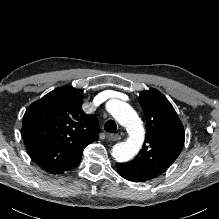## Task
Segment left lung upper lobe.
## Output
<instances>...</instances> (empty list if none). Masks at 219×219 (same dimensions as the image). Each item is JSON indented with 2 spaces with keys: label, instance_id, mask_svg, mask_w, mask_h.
<instances>
[{
  "label": "left lung upper lobe",
  "instance_id": "obj_1",
  "mask_svg": "<svg viewBox=\"0 0 219 219\" xmlns=\"http://www.w3.org/2000/svg\"><path fill=\"white\" fill-rule=\"evenodd\" d=\"M146 117V137L139 154L118 163L145 180L165 172L179 156L185 140L182 122L167 98L158 90L142 91L138 97Z\"/></svg>",
  "mask_w": 219,
  "mask_h": 219
}]
</instances>
